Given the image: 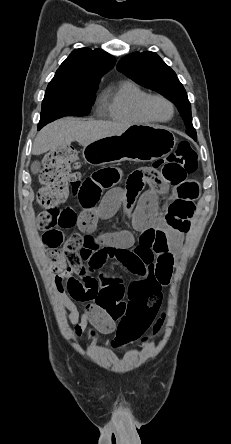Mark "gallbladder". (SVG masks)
<instances>
[{
	"label": "gallbladder",
	"instance_id": "gallbladder-1",
	"mask_svg": "<svg viewBox=\"0 0 231 444\" xmlns=\"http://www.w3.org/2000/svg\"><path fill=\"white\" fill-rule=\"evenodd\" d=\"M40 169V163L39 162H34L31 166V170L33 173H37Z\"/></svg>",
	"mask_w": 231,
	"mask_h": 444
}]
</instances>
